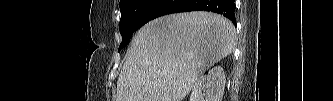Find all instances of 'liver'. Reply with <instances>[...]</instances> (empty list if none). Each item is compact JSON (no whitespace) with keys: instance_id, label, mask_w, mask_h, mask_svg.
Listing matches in <instances>:
<instances>
[{"instance_id":"1","label":"liver","mask_w":333,"mask_h":101,"mask_svg":"<svg viewBox=\"0 0 333 101\" xmlns=\"http://www.w3.org/2000/svg\"><path fill=\"white\" fill-rule=\"evenodd\" d=\"M234 45V25L216 13L154 19L133 37L116 101H183L197 79L231 54Z\"/></svg>"}]
</instances>
